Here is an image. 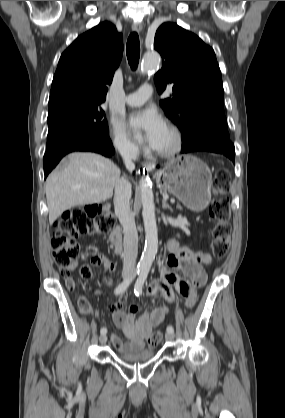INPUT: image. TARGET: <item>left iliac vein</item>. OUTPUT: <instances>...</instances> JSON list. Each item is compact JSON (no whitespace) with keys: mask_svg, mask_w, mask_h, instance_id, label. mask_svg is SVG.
I'll return each instance as SVG.
<instances>
[{"mask_svg":"<svg viewBox=\"0 0 285 418\" xmlns=\"http://www.w3.org/2000/svg\"><path fill=\"white\" fill-rule=\"evenodd\" d=\"M165 338L169 341L173 340L174 339L173 332H167L166 335H165Z\"/></svg>","mask_w":285,"mask_h":418,"instance_id":"left-iliac-vein-1","label":"left iliac vein"}]
</instances>
